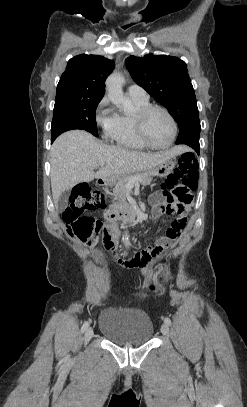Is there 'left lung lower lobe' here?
Here are the masks:
<instances>
[{
  "label": "left lung lower lobe",
  "mask_w": 247,
  "mask_h": 407,
  "mask_svg": "<svg viewBox=\"0 0 247 407\" xmlns=\"http://www.w3.org/2000/svg\"><path fill=\"white\" fill-rule=\"evenodd\" d=\"M186 145L192 147L199 154V150H200L199 141L198 142H189Z\"/></svg>",
  "instance_id": "0a47b994"
}]
</instances>
